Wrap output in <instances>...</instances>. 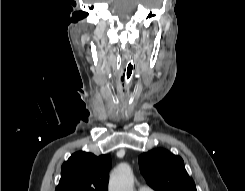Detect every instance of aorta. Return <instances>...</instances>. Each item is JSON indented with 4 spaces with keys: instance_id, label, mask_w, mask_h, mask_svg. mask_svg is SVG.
Instances as JSON below:
<instances>
[{
    "instance_id": "obj_1",
    "label": "aorta",
    "mask_w": 245,
    "mask_h": 191,
    "mask_svg": "<svg viewBox=\"0 0 245 191\" xmlns=\"http://www.w3.org/2000/svg\"><path fill=\"white\" fill-rule=\"evenodd\" d=\"M134 178L130 166L121 163L112 172L108 191H133Z\"/></svg>"
}]
</instances>
